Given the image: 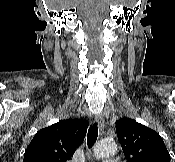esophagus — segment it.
Wrapping results in <instances>:
<instances>
[{
    "instance_id": "obj_1",
    "label": "esophagus",
    "mask_w": 175,
    "mask_h": 162,
    "mask_svg": "<svg viewBox=\"0 0 175 162\" xmlns=\"http://www.w3.org/2000/svg\"><path fill=\"white\" fill-rule=\"evenodd\" d=\"M95 121L98 124L99 129L102 131L105 125V119L102 114L95 115Z\"/></svg>"
}]
</instances>
